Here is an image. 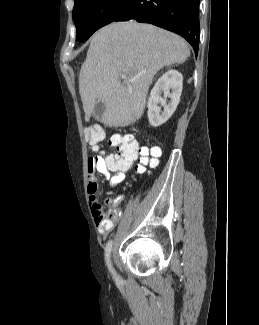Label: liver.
Masks as SVG:
<instances>
[{"label":"liver","mask_w":259,"mask_h":325,"mask_svg":"<svg viewBox=\"0 0 259 325\" xmlns=\"http://www.w3.org/2000/svg\"><path fill=\"white\" fill-rule=\"evenodd\" d=\"M190 56L178 35L134 20L111 23L92 37L79 74V92L89 121L97 101L104 103L101 122L129 126L141 118L149 87L164 66ZM135 79L122 83L121 76Z\"/></svg>","instance_id":"liver-1"}]
</instances>
